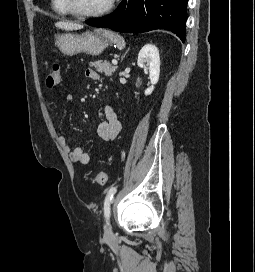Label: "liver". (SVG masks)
Here are the masks:
<instances>
[{
    "mask_svg": "<svg viewBox=\"0 0 255 272\" xmlns=\"http://www.w3.org/2000/svg\"><path fill=\"white\" fill-rule=\"evenodd\" d=\"M55 26L59 29L66 30V31L79 30L83 28V26L80 24L67 22V21H59L55 23Z\"/></svg>",
    "mask_w": 255,
    "mask_h": 272,
    "instance_id": "obj_1",
    "label": "liver"
}]
</instances>
